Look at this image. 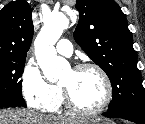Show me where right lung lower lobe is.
I'll list each match as a JSON object with an SVG mask.
<instances>
[{
	"instance_id": "obj_1",
	"label": "right lung lower lobe",
	"mask_w": 145,
	"mask_h": 124,
	"mask_svg": "<svg viewBox=\"0 0 145 124\" xmlns=\"http://www.w3.org/2000/svg\"><path fill=\"white\" fill-rule=\"evenodd\" d=\"M26 107L25 101L22 96H2L0 97L1 107Z\"/></svg>"
}]
</instances>
